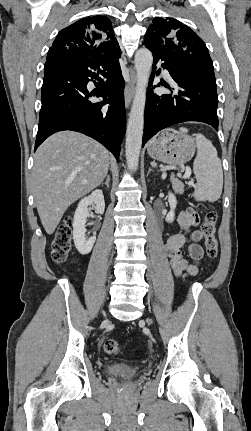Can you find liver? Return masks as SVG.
<instances>
[{"instance_id": "1", "label": "liver", "mask_w": 251, "mask_h": 431, "mask_svg": "<svg viewBox=\"0 0 251 431\" xmlns=\"http://www.w3.org/2000/svg\"><path fill=\"white\" fill-rule=\"evenodd\" d=\"M110 158L100 143L73 131L58 132L40 145L34 157L32 186L47 234H53L73 202L102 183Z\"/></svg>"}]
</instances>
